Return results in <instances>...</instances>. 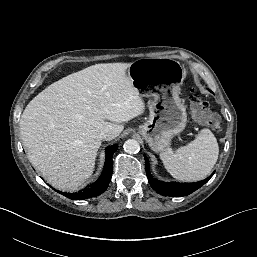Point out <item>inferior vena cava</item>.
I'll return each instance as SVG.
<instances>
[{
  "label": "inferior vena cava",
  "mask_w": 257,
  "mask_h": 257,
  "mask_svg": "<svg viewBox=\"0 0 257 257\" xmlns=\"http://www.w3.org/2000/svg\"><path fill=\"white\" fill-rule=\"evenodd\" d=\"M115 137H116V134L111 131L101 132L99 134L100 140L110 141V140L114 139Z\"/></svg>",
  "instance_id": "obj_1"
}]
</instances>
